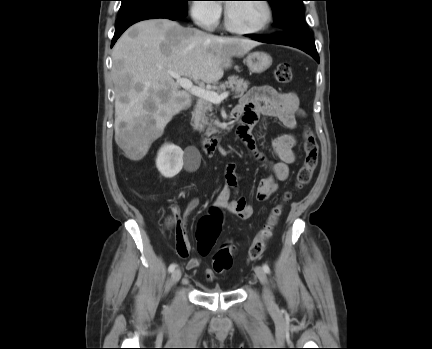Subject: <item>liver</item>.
<instances>
[{"label":"liver","instance_id":"obj_1","mask_svg":"<svg viewBox=\"0 0 432 349\" xmlns=\"http://www.w3.org/2000/svg\"><path fill=\"white\" fill-rule=\"evenodd\" d=\"M260 43L219 37L168 19L139 22L112 52L115 141L133 161L141 160L173 116L191 105L169 71L210 84L223 77L232 58Z\"/></svg>","mask_w":432,"mask_h":349}]
</instances>
